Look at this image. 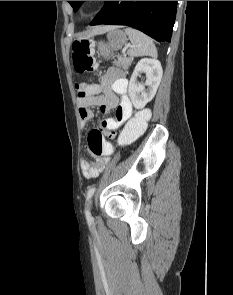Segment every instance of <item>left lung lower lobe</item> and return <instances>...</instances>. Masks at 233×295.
<instances>
[{
    "instance_id": "left-lung-lower-lobe-1",
    "label": "left lung lower lobe",
    "mask_w": 233,
    "mask_h": 295,
    "mask_svg": "<svg viewBox=\"0 0 233 295\" xmlns=\"http://www.w3.org/2000/svg\"><path fill=\"white\" fill-rule=\"evenodd\" d=\"M176 9L177 1H106L90 25H127L170 42Z\"/></svg>"
}]
</instances>
